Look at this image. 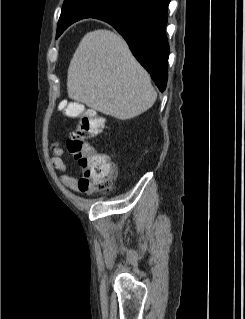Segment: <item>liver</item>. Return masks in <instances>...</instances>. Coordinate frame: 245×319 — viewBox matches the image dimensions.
Instances as JSON below:
<instances>
[{"mask_svg":"<svg viewBox=\"0 0 245 319\" xmlns=\"http://www.w3.org/2000/svg\"><path fill=\"white\" fill-rule=\"evenodd\" d=\"M70 99L117 119L134 118L156 101L148 72L122 37L99 29L80 41L68 68Z\"/></svg>","mask_w":245,"mask_h":319,"instance_id":"obj_1","label":"liver"}]
</instances>
